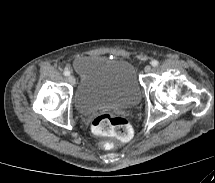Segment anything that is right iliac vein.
<instances>
[{
  "instance_id": "right-iliac-vein-1",
  "label": "right iliac vein",
  "mask_w": 215,
  "mask_h": 183,
  "mask_svg": "<svg viewBox=\"0 0 215 183\" xmlns=\"http://www.w3.org/2000/svg\"><path fill=\"white\" fill-rule=\"evenodd\" d=\"M68 81H69L70 84L74 85L75 84V78H74V76L70 75L68 77Z\"/></svg>"
}]
</instances>
